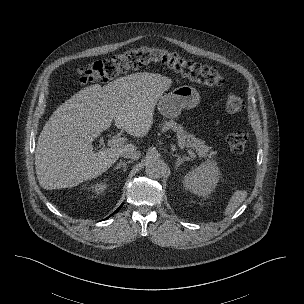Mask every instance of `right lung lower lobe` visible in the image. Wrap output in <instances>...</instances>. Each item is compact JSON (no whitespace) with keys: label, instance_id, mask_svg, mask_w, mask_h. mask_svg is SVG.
<instances>
[{"label":"right lung lower lobe","instance_id":"right-lung-lower-lobe-1","mask_svg":"<svg viewBox=\"0 0 304 304\" xmlns=\"http://www.w3.org/2000/svg\"><path fill=\"white\" fill-rule=\"evenodd\" d=\"M121 206H122V205H121ZM121 206H120V207H119V208H118V209H117L115 212H118V211H119V209L121 208ZM113 214H114V213H113ZM113 214H112V215H113Z\"/></svg>","mask_w":304,"mask_h":304}]
</instances>
